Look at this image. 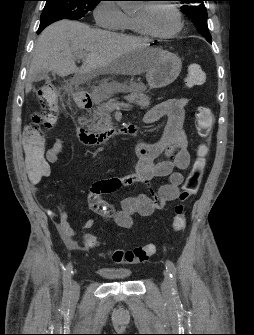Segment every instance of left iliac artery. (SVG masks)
Masks as SVG:
<instances>
[{
    "instance_id": "44dca946",
    "label": "left iliac artery",
    "mask_w": 254,
    "mask_h": 335,
    "mask_svg": "<svg viewBox=\"0 0 254 335\" xmlns=\"http://www.w3.org/2000/svg\"><path fill=\"white\" fill-rule=\"evenodd\" d=\"M166 269L169 273V276L171 278V286H172V294L177 297L178 296V290H177V269L174 265V263L170 260L166 261Z\"/></svg>"
}]
</instances>
